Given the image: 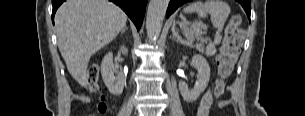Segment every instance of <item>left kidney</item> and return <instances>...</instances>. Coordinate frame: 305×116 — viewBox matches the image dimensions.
<instances>
[{
  "mask_svg": "<svg viewBox=\"0 0 305 116\" xmlns=\"http://www.w3.org/2000/svg\"><path fill=\"white\" fill-rule=\"evenodd\" d=\"M191 65L197 69L198 72L194 88L189 89L183 81L179 82V91L183 99L187 102L196 101L200 94L206 89L210 79V67L205 57L200 54L194 55L192 57Z\"/></svg>",
  "mask_w": 305,
  "mask_h": 116,
  "instance_id": "5707ae66",
  "label": "left kidney"
}]
</instances>
